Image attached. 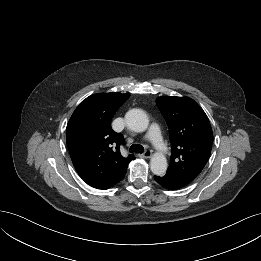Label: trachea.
<instances>
[{
	"label": "trachea",
	"instance_id": "trachea-1",
	"mask_svg": "<svg viewBox=\"0 0 261 261\" xmlns=\"http://www.w3.org/2000/svg\"><path fill=\"white\" fill-rule=\"evenodd\" d=\"M129 151L130 152L143 153L144 152V148L141 145H139V144H133V145H131Z\"/></svg>",
	"mask_w": 261,
	"mask_h": 261
}]
</instances>
